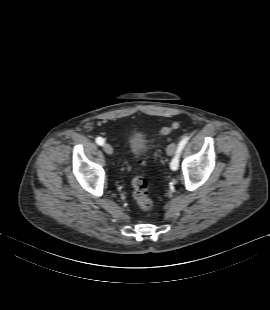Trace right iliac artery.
Returning a JSON list of instances; mask_svg holds the SVG:
<instances>
[{
	"label": "right iliac artery",
	"mask_w": 270,
	"mask_h": 310,
	"mask_svg": "<svg viewBox=\"0 0 270 310\" xmlns=\"http://www.w3.org/2000/svg\"><path fill=\"white\" fill-rule=\"evenodd\" d=\"M96 143H97L98 145H103V144H104V139H103L102 137H97V138H96Z\"/></svg>",
	"instance_id": "obj_1"
}]
</instances>
